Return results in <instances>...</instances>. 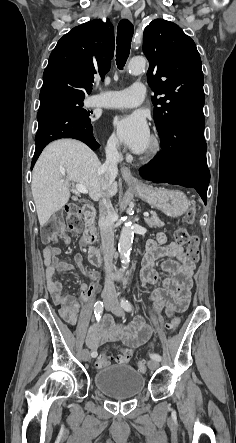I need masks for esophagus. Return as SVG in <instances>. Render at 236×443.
<instances>
[{
    "label": "esophagus",
    "instance_id": "obj_1",
    "mask_svg": "<svg viewBox=\"0 0 236 443\" xmlns=\"http://www.w3.org/2000/svg\"><path fill=\"white\" fill-rule=\"evenodd\" d=\"M121 16L124 19L132 20V13L129 9H123L121 11ZM121 174H122L123 179L126 182L132 183V184H137V185L141 184V182L132 175V173L128 167L122 166L121 167Z\"/></svg>",
    "mask_w": 236,
    "mask_h": 443
}]
</instances>
